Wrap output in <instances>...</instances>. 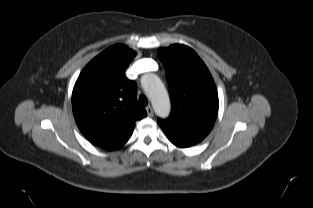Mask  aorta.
<instances>
[{
    "label": "aorta",
    "mask_w": 313,
    "mask_h": 208,
    "mask_svg": "<svg viewBox=\"0 0 313 208\" xmlns=\"http://www.w3.org/2000/svg\"><path fill=\"white\" fill-rule=\"evenodd\" d=\"M141 84L151 100L156 115L162 118L167 117L170 113L171 103L160 78L155 74H146L142 77Z\"/></svg>",
    "instance_id": "obj_1"
}]
</instances>
